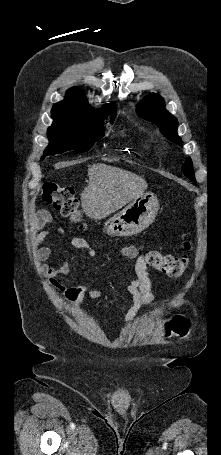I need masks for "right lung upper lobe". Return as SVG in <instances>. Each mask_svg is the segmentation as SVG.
Wrapping results in <instances>:
<instances>
[{"label": "right lung upper lobe", "instance_id": "right-lung-upper-lobe-1", "mask_svg": "<svg viewBox=\"0 0 221 455\" xmlns=\"http://www.w3.org/2000/svg\"><path fill=\"white\" fill-rule=\"evenodd\" d=\"M114 109H116L114 102H110L101 111H95L88 104L85 95L78 88L73 87L66 92V97L63 101L53 106L51 114L53 118L86 121L101 115L104 111Z\"/></svg>", "mask_w": 221, "mask_h": 455}]
</instances>
